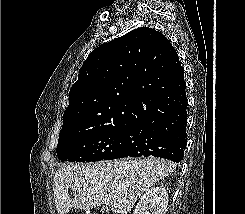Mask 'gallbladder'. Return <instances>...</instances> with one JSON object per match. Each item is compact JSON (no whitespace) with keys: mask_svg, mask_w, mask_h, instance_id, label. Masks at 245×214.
<instances>
[{"mask_svg":"<svg viewBox=\"0 0 245 214\" xmlns=\"http://www.w3.org/2000/svg\"><path fill=\"white\" fill-rule=\"evenodd\" d=\"M108 211H109V208L107 206L102 207L101 210H100V212L102 214H106Z\"/></svg>","mask_w":245,"mask_h":214,"instance_id":"obj_1","label":"gallbladder"}]
</instances>
